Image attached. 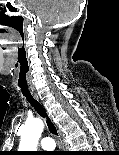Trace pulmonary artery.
<instances>
[{"mask_svg": "<svg viewBox=\"0 0 119 155\" xmlns=\"http://www.w3.org/2000/svg\"><path fill=\"white\" fill-rule=\"evenodd\" d=\"M40 146L44 150H52L55 148V142L51 137H44L40 141Z\"/></svg>", "mask_w": 119, "mask_h": 155, "instance_id": "pulmonary-artery-1", "label": "pulmonary artery"}]
</instances>
